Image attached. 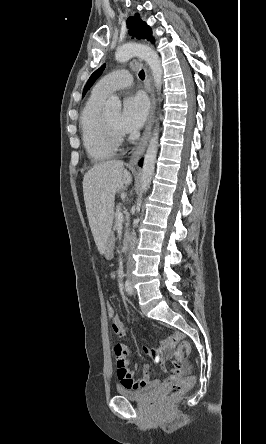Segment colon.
I'll list each match as a JSON object with an SVG mask.
<instances>
[{
	"label": "colon",
	"instance_id": "obj_1",
	"mask_svg": "<svg viewBox=\"0 0 266 444\" xmlns=\"http://www.w3.org/2000/svg\"><path fill=\"white\" fill-rule=\"evenodd\" d=\"M106 313L107 316L112 320L118 314L112 303L108 302L106 304ZM191 351L190 344L187 341H180L175 350V359L177 361L182 360L183 357L188 356ZM194 377L187 376L173 382L167 389H165L159 399L161 404L168 403L171 399L178 396L185 390L190 389L194 384Z\"/></svg>",
	"mask_w": 266,
	"mask_h": 444
}]
</instances>
